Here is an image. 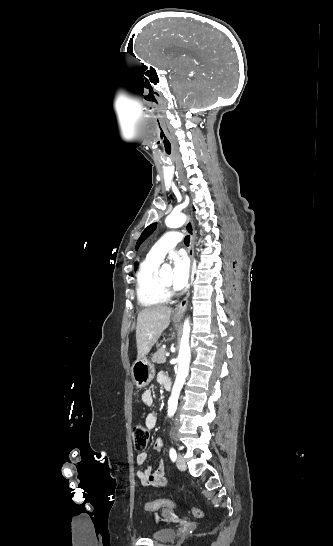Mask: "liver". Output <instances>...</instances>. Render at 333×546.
<instances>
[{
  "label": "liver",
  "instance_id": "6515ba94",
  "mask_svg": "<svg viewBox=\"0 0 333 546\" xmlns=\"http://www.w3.org/2000/svg\"><path fill=\"white\" fill-rule=\"evenodd\" d=\"M172 309L155 306L143 309L137 317V358H145L160 335L170 324Z\"/></svg>",
  "mask_w": 333,
  "mask_h": 546
}]
</instances>
